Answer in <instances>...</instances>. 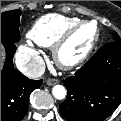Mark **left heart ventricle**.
Instances as JSON below:
<instances>
[{"mask_svg":"<svg viewBox=\"0 0 121 121\" xmlns=\"http://www.w3.org/2000/svg\"><path fill=\"white\" fill-rule=\"evenodd\" d=\"M96 36L95 26L88 24L79 28L61 50L63 60H72L82 55Z\"/></svg>","mask_w":121,"mask_h":121,"instance_id":"left-heart-ventricle-1","label":"left heart ventricle"}]
</instances>
